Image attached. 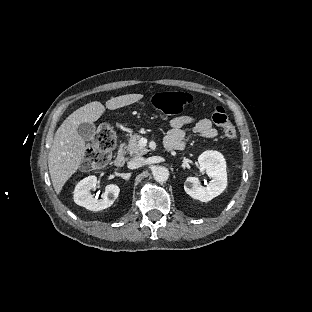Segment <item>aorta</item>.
<instances>
[{
	"label": "aorta",
	"mask_w": 312,
	"mask_h": 312,
	"mask_svg": "<svg viewBox=\"0 0 312 312\" xmlns=\"http://www.w3.org/2000/svg\"><path fill=\"white\" fill-rule=\"evenodd\" d=\"M152 173L157 182H165L169 177V170L163 166L155 167Z\"/></svg>",
	"instance_id": "obj_1"
}]
</instances>
